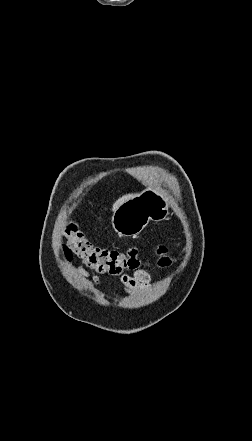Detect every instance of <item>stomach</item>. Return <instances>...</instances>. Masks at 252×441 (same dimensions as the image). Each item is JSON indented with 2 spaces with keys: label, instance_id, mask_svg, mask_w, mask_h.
Returning <instances> with one entry per match:
<instances>
[{
  "label": "stomach",
  "instance_id": "obj_1",
  "mask_svg": "<svg viewBox=\"0 0 252 441\" xmlns=\"http://www.w3.org/2000/svg\"><path fill=\"white\" fill-rule=\"evenodd\" d=\"M168 214L169 201L165 195L148 188L114 210L112 226L121 237H136L150 221H163Z\"/></svg>",
  "mask_w": 252,
  "mask_h": 441
}]
</instances>
